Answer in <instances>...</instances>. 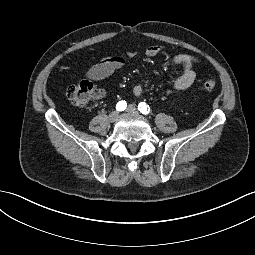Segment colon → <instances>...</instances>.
Masks as SVG:
<instances>
[{"instance_id":"5ec220e1","label":"colon","mask_w":255,"mask_h":255,"mask_svg":"<svg viewBox=\"0 0 255 255\" xmlns=\"http://www.w3.org/2000/svg\"><path fill=\"white\" fill-rule=\"evenodd\" d=\"M203 87L205 90L211 91L216 87V82L213 79H207L204 81ZM94 95L95 89L93 85L87 81L71 85L66 90L68 100L79 107L87 106Z\"/></svg>"}]
</instances>
